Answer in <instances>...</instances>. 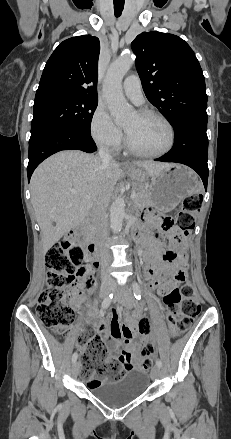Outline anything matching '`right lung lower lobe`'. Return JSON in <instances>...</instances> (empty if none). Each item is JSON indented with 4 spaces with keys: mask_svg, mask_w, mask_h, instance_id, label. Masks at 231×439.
<instances>
[{
    "mask_svg": "<svg viewBox=\"0 0 231 439\" xmlns=\"http://www.w3.org/2000/svg\"><path fill=\"white\" fill-rule=\"evenodd\" d=\"M68 149L82 150L87 153L96 151L97 147L90 132L74 126H58L48 129L29 141L28 181L35 168L50 155Z\"/></svg>",
    "mask_w": 231,
    "mask_h": 439,
    "instance_id": "right-lung-lower-lobe-1",
    "label": "right lung lower lobe"
}]
</instances>
